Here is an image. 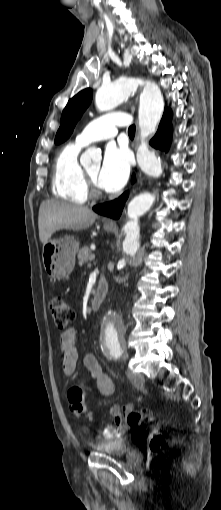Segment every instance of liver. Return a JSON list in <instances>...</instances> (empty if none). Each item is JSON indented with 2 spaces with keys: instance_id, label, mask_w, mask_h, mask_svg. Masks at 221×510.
I'll return each mask as SVG.
<instances>
[{
  "instance_id": "obj_1",
  "label": "liver",
  "mask_w": 221,
  "mask_h": 510,
  "mask_svg": "<svg viewBox=\"0 0 221 510\" xmlns=\"http://www.w3.org/2000/svg\"><path fill=\"white\" fill-rule=\"evenodd\" d=\"M96 218L97 214L87 207L57 200L43 201L38 216L39 239L45 244L58 230L86 229Z\"/></svg>"
}]
</instances>
